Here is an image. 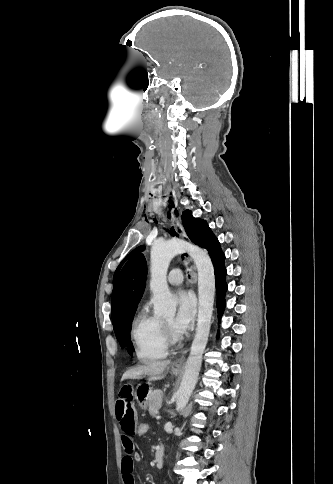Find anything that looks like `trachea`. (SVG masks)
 <instances>
[{
  "instance_id": "trachea-1",
  "label": "trachea",
  "mask_w": 333,
  "mask_h": 484,
  "mask_svg": "<svg viewBox=\"0 0 333 484\" xmlns=\"http://www.w3.org/2000/svg\"><path fill=\"white\" fill-rule=\"evenodd\" d=\"M156 190H157V191H160V190H161V187H160V186H157V187H156ZM189 277H190V275H189Z\"/></svg>"
}]
</instances>
